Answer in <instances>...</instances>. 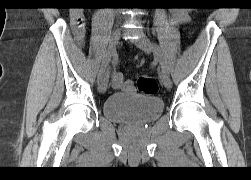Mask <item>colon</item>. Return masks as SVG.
<instances>
[{
	"mask_svg": "<svg viewBox=\"0 0 251 180\" xmlns=\"http://www.w3.org/2000/svg\"><path fill=\"white\" fill-rule=\"evenodd\" d=\"M137 89L142 94L154 95L158 91V83L153 77L141 76L137 80Z\"/></svg>",
	"mask_w": 251,
	"mask_h": 180,
	"instance_id": "5ec220e1",
	"label": "colon"
}]
</instances>
